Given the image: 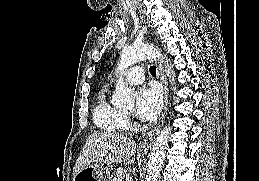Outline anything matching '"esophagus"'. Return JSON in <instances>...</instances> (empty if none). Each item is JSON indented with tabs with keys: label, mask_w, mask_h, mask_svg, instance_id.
Here are the masks:
<instances>
[{
	"label": "esophagus",
	"mask_w": 259,
	"mask_h": 181,
	"mask_svg": "<svg viewBox=\"0 0 259 181\" xmlns=\"http://www.w3.org/2000/svg\"><path fill=\"white\" fill-rule=\"evenodd\" d=\"M157 70H158V75L160 77L161 83L163 84V87H164V107H163L162 116L160 118L158 125L156 126V128L151 130L146 135V137L143 139V141L140 143L139 148L141 150L149 149L152 146V144L164 122V119H165V116L167 113V109H168V83H167V79H166V76L164 74L161 64H158Z\"/></svg>",
	"instance_id": "obj_1"
}]
</instances>
